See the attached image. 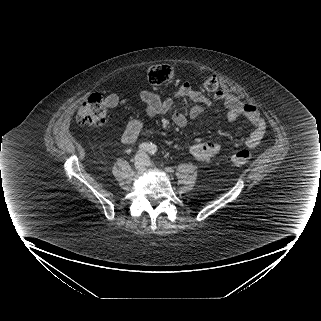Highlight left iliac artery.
<instances>
[{
  "label": "left iliac artery",
  "instance_id": "obj_1",
  "mask_svg": "<svg viewBox=\"0 0 321 321\" xmlns=\"http://www.w3.org/2000/svg\"><path fill=\"white\" fill-rule=\"evenodd\" d=\"M156 151H157V147H156L155 145H152L149 153H150L151 155H155V154H156Z\"/></svg>",
  "mask_w": 321,
  "mask_h": 321
}]
</instances>
